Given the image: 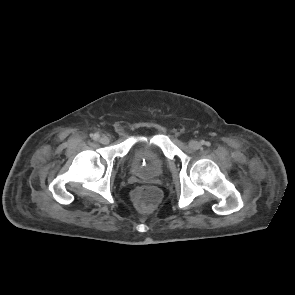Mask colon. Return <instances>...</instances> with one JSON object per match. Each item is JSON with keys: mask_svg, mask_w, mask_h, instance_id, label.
<instances>
[{"mask_svg": "<svg viewBox=\"0 0 295 295\" xmlns=\"http://www.w3.org/2000/svg\"><path fill=\"white\" fill-rule=\"evenodd\" d=\"M135 204L142 210H149L154 207L160 199V192L153 186H140L132 193Z\"/></svg>", "mask_w": 295, "mask_h": 295, "instance_id": "colon-1", "label": "colon"}]
</instances>
